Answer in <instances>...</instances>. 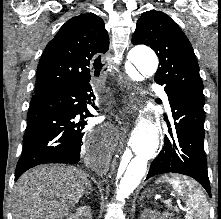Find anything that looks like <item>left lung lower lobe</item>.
Returning a JSON list of instances; mask_svg holds the SVG:
<instances>
[{
	"label": "left lung lower lobe",
	"mask_w": 221,
	"mask_h": 219,
	"mask_svg": "<svg viewBox=\"0 0 221 219\" xmlns=\"http://www.w3.org/2000/svg\"><path fill=\"white\" fill-rule=\"evenodd\" d=\"M174 124H168L169 135L164 147L151 163L146 179L163 173H180L197 180L211 196L204 153L203 106L193 101L169 96Z\"/></svg>",
	"instance_id": "obj_1"
}]
</instances>
